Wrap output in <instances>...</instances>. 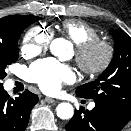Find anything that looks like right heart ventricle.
<instances>
[{
  "label": "right heart ventricle",
  "instance_id": "1",
  "mask_svg": "<svg viewBox=\"0 0 131 131\" xmlns=\"http://www.w3.org/2000/svg\"><path fill=\"white\" fill-rule=\"evenodd\" d=\"M60 30L76 45L98 36V31L94 26L78 19L65 20Z\"/></svg>",
  "mask_w": 131,
  "mask_h": 131
}]
</instances>
